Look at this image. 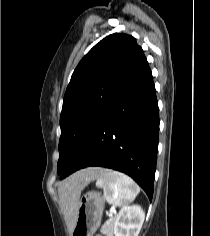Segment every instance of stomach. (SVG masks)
I'll list each match as a JSON object with an SVG mask.
<instances>
[{"label": "stomach", "instance_id": "0dacf381", "mask_svg": "<svg viewBox=\"0 0 210 236\" xmlns=\"http://www.w3.org/2000/svg\"><path fill=\"white\" fill-rule=\"evenodd\" d=\"M104 205V197L99 192L84 194L79 200L77 220L71 236H93L100 225Z\"/></svg>", "mask_w": 210, "mask_h": 236}]
</instances>
